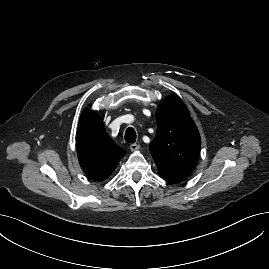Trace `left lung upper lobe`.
I'll use <instances>...</instances> for the list:
<instances>
[{"mask_svg": "<svg viewBox=\"0 0 269 269\" xmlns=\"http://www.w3.org/2000/svg\"><path fill=\"white\" fill-rule=\"evenodd\" d=\"M157 133L150 144L158 174L187 176L196 167L201 139L183 101L168 96L156 110Z\"/></svg>", "mask_w": 269, "mask_h": 269, "instance_id": "left-lung-upper-lobe-1", "label": "left lung upper lobe"}]
</instances>
